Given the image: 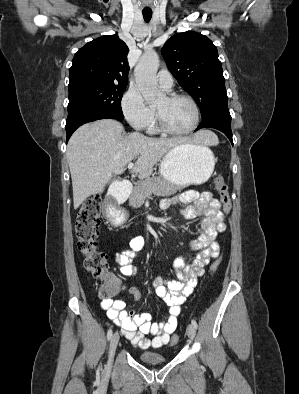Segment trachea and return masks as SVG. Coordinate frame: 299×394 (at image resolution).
I'll return each instance as SVG.
<instances>
[{"label":"trachea","mask_w":299,"mask_h":394,"mask_svg":"<svg viewBox=\"0 0 299 394\" xmlns=\"http://www.w3.org/2000/svg\"><path fill=\"white\" fill-rule=\"evenodd\" d=\"M142 14L145 22L148 23L152 18V11H143Z\"/></svg>","instance_id":"1"}]
</instances>
